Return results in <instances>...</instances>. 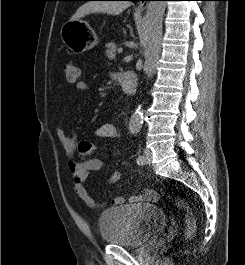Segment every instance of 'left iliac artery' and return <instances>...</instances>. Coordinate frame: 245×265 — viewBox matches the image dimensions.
<instances>
[{
	"instance_id": "1",
	"label": "left iliac artery",
	"mask_w": 245,
	"mask_h": 265,
	"mask_svg": "<svg viewBox=\"0 0 245 265\" xmlns=\"http://www.w3.org/2000/svg\"><path fill=\"white\" fill-rule=\"evenodd\" d=\"M137 163L138 164H143V161H144V157L143 156H138V158L136 159Z\"/></svg>"
}]
</instances>
